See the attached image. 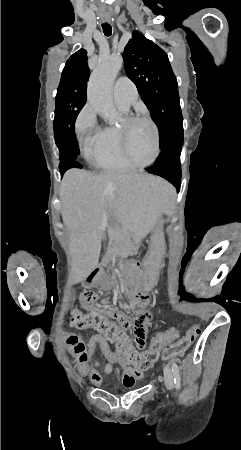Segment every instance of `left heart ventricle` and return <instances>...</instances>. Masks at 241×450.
<instances>
[{"label": "left heart ventricle", "instance_id": "left-heart-ventricle-1", "mask_svg": "<svg viewBox=\"0 0 241 450\" xmlns=\"http://www.w3.org/2000/svg\"><path fill=\"white\" fill-rule=\"evenodd\" d=\"M154 122L149 115L141 113L136 116V121H130L128 124L129 132L125 138L127 142L124 144V151L129 152L127 164L132 169H137L139 165H146L148 160L152 159V136Z\"/></svg>", "mask_w": 241, "mask_h": 450}]
</instances>
